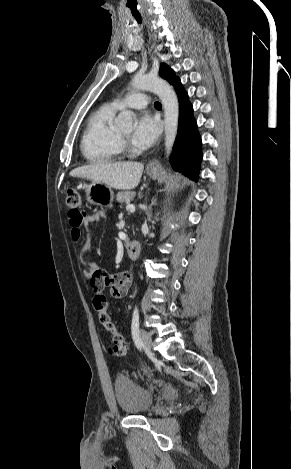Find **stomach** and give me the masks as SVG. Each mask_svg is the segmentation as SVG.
<instances>
[{"instance_id": "1", "label": "stomach", "mask_w": 291, "mask_h": 469, "mask_svg": "<svg viewBox=\"0 0 291 469\" xmlns=\"http://www.w3.org/2000/svg\"><path fill=\"white\" fill-rule=\"evenodd\" d=\"M147 174L151 178L155 179L159 176L160 170L147 169ZM85 193L87 201L93 205L109 206L114 199V194L111 187L101 182L93 181L92 183L86 185Z\"/></svg>"}]
</instances>
